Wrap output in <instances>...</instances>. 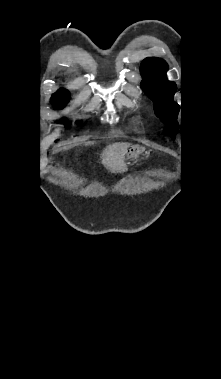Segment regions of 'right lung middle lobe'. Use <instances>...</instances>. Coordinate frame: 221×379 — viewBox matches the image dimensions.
<instances>
[{
	"label": "right lung middle lobe",
	"mask_w": 221,
	"mask_h": 379,
	"mask_svg": "<svg viewBox=\"0 0 221 379\" xmlns=\"http://www.w3.org/2000/svg\"><path fill=\"white\" fill-rule=\"evenodd\" d=\"M57 108H63L66 103H53Z\"/></svg>",
	"instance_id": "obj_1"
}]
</instances>
